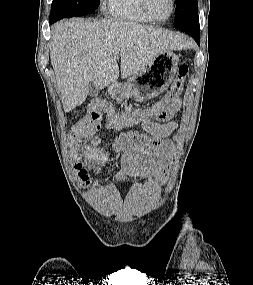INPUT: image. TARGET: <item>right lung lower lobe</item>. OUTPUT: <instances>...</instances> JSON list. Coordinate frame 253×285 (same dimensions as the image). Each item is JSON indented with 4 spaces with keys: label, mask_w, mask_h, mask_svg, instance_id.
Returning a JSON list of instances; mask_svg holds the SVG:
<instances>
[{
    "label": "right lung lower lobe",
    "mask_w": 253,
    "mask_h": 285,
    "mask_svg": "<svg viewBox=\"0 0 253 285\" xmlns=\"http://www.w3.org/2000/svg\"><path fill=\"white\" fill-rule=\"evenodd\" d=\"M57 20L50 18V24L56 22Z\"/></svg>",
    "instance_id": "right-lung-lower-lobe-1"
}]
</instances>
